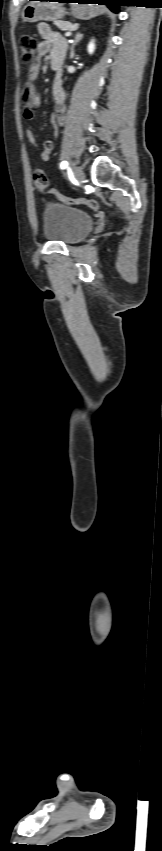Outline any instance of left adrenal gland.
Returning <instances> with one entry per match:
<instances>
[{
  "mask_svg": "<svg viewBox=\"0 0 162 851\" xmlns=\"http://www.w3.org/2000/svg\"><path fill=\"white\" fill-rule=\"evenodd\" d=\"M82 38H83V34H81V33H76V35H75V42L72 44L71 49H70V50H71V51H70V59H73V57H74V47H75V45H76V44H77V43H78V42H79Z\"/></svg>",
  "mask_w": 162,
  "mask_h": 851,
  "instance_id": "obj_1",
  "label": "left adrenal gland"
}]
</instances>
